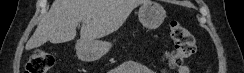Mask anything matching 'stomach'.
I'll use <instances>...</instances> for the list:
<instances>
[{
    "label": "stomach",
    "mask_w": 244,
    "mask_h": 73,
    "mask_svg": "<svg viewBox=\"0 0 244 73\" xmlns=\"http://www.w3.org/2000/svg\"><path fill=\"white\" fill-rule=\"evenodd\" d=\"M139 21L148 29L159 27L166 17L164 8L157 2L147 0L138 11ZM112 44L106 41H79L76 44L77 56L83 61H95L104 56Z\"/></svg>",
    "instance_id": "obj_1"
}]
</instances>
